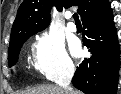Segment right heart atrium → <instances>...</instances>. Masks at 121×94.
<instances>
[{
	"instance_id": "d8ad5b80",
	"label": "right heart atrium",
	"mask_w": 121,
	"mask_h": 94,
	"mask_svg": "<svg viewBox=\"0 0 121 94\" xmlns=\"http://www.w3.org/2000/svg\"><path fill=\"white\" fill-rule=\"evenodd\" d=\"M35 69L48 79L69 78L75 66L62 38L53 31L42 33L33 49Z\"/></svg>"
}]
</instances>
